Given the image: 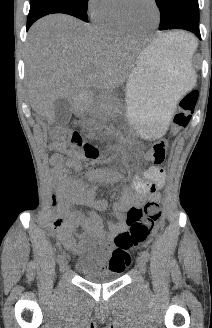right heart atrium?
Returning <instances> with one entry per match:
<instances>
[{
    "label": "right heart atrium",
    "mask_w": 212,
    "mask_h": 328,
    "mask_svg": "<svg viewBox=\"0 0 212 328\" xmlns=\"http://www.w3.org/2000/svg\"><path fill=\"white\" fill-rule=\"evenodd\" d=\"M113 8L112 0H87L86 10L89 18L98 22Z\"/></svg>",
    "instance_id": "obj_1"
}]
</instances>
